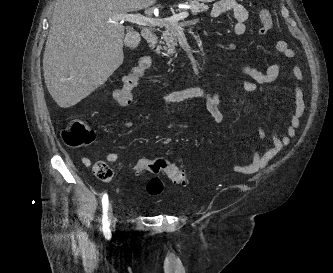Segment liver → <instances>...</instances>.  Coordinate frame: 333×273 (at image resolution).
Returning a JSON list of instances; mask_svg holds the SVG:
<instances>
[{
  "label": "liver",
  "mask_w": 333,
  "mask_h": 273,
  "mask_svg": "<svg viewBox=\"0 0 333 273\" xmlns=\"http://www.w3.org/2000/svg\"><path fill=\"white\" fill-rule=\"evenodd\" d=\"M156 0H57L43 56L47 89L69 108L103 85L124 60L125 28L114 17Z\"/></svg>",
  "instance_id": "obj_1"
}]
</instances>
